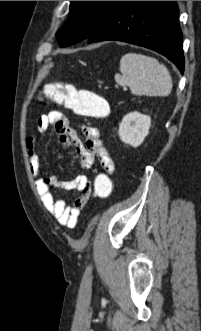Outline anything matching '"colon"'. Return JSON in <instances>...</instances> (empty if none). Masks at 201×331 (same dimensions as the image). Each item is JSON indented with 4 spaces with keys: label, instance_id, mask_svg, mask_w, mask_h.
<instances>
[{
    "label": "colon",
    "instance_id": "1",
    "mask_svg": "<svg viewBox=\"0 0 201 331\" xmlns=\"http://www.w3.org/2000/svg\"><path fill=\"white\" fill-rule=\"evenodd\" d=\"M42 95L84 117L103 118L109 112L108 103L103 97L88 90L78 89L72 84L49 83L44 87ZM112 187L111 176L100 172L95 177L92 195L97 199H106L111 195Z\"/></svg>",
    "mask_w": 201,
    "mask_h": 331
}]
</instances>
